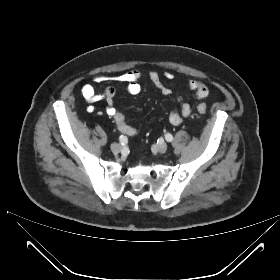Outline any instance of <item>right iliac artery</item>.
I'll return each instance as SVG.
<instances>
[{"mask_svg": "<svg viewBox=\"0 0 280 280\" xmlns=\"http://www.w3.org/2000/svg\"><path fill=\"white\" fill-rule=\"evenodd\" d=\"M119 142L121 143V145H125L127 143V137L124 135H121L119 137Z\"/></svg>", "mask_w": 280, "mask_h": 280, "instance_id": "1", "label": "right iliac artery"}]
</instances>
